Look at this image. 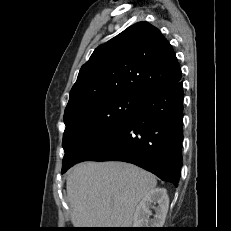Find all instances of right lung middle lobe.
<instances>
[{"instance_id":"obj_1","label":"right lung middle lobe","mask_w":231,"mask_h":231,"mask_svg":"<svg viewBox=\"0 0 231 231\" xmlns=\"http://www.w3.org/2000/svg\"><path fill=\"white\" fill-rule=\"evenodd\" d=\"M136 107L137 96L121 95L65 114L62 173L121 127Z\"/></svg>"}]
</instances>
